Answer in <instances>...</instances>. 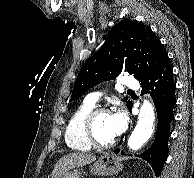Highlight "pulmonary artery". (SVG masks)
Returning <instances> with one entry per match:
<instances>
[{"label":"pulmonary artery","instance_id":"e3ab8cb5","mask_svg":"<svg viewBox=\"0 0 194 178\" xmlns=\"http://www.w3.org/2000/svg\"><path fill=\"white\" fill-rule=\"evenodd\" d=\"M123 85L127 88H131V89H137L138 88V82L136 79H134L133 77L129 76V77H126L124 82H123ZM100 99V95L98 93H92L90 94L88 97H87V101L92 103V104H95L99 101Z\"/></svg>","mask_w":194,"mask_h":178}]
</instances>
